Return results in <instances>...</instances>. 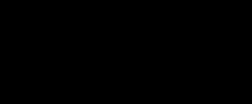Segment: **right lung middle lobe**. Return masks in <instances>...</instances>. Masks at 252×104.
Returning <instances> with one entry per match:
<instances>
[{"label":"right lung middle lobe","instance_id":"1","mask_svg":"<svg viewBox=\"0 0 252 104\" xmlns=\"http://www.w3.org/2000/svg\"><path fill=\"white\" fill-rule=\"evenodd\" d=\"M121 19L122 16L108 19L81 17L67 23L44 40L35 63L52 56L68 54L101 63L103 40Z\"/></svg>","mask_w":252,"mask_h":104}]
</instances>
